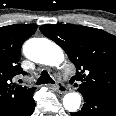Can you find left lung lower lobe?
<instances>
[{
  "label": "left lung lower lobe",
  "instance_id": "left-lung-lower-lobe-1",
  "mask_svg": "<svg viewBox=\"0 0 116 116\" xmlns=\"http://www.w3.org/2000/svg\"><path fill=\"white\" fill-rule=\"evenodd\" d=\"M84 105L71 116H114L116 114V97L94 93H82Z\"/></svg>",
  "mask_w": 116,
  "mask_h": 116
}]
</instances>
